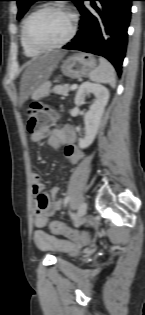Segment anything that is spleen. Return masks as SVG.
I'll use <instances>...</instances> for the list:
<instances>
[{
  "label": "spleen",
  "mask_w": 145,
  "mask_h": 315,
  "mask_svg": "<svg viewBox=\"0 0 145 315\" xmlns=\"http://www.w3.org/2000/svg\"><path fill=\"white\" fill-rule=\"evenodd\" d=\"M89 79L96 83L109 84L112 88L116 86V73L112 64L105 58H99V66L89 74Z\"/></svg>",
  "instance_id": "obj_1"
}]
</instances>
